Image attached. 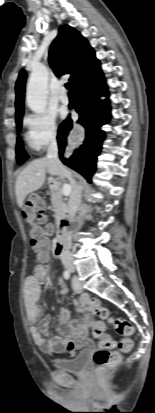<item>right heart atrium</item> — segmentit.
<instances>
[{"label": "right heart atrium", "instance_id": "1", "mask_svg": "<svg viewBox=\"0 0 155 413\" xmlns=\"http://www.w3.org/2000/svg\"><path fill=\"white\" fill-rule=\"evenodd\" d=\"M24 125L27 142L35 152H41L57 139L56 120L50 113H31L25 117Z\"/></svg>", "mask_w": 155, "mask_h": 413}]
</instances>
